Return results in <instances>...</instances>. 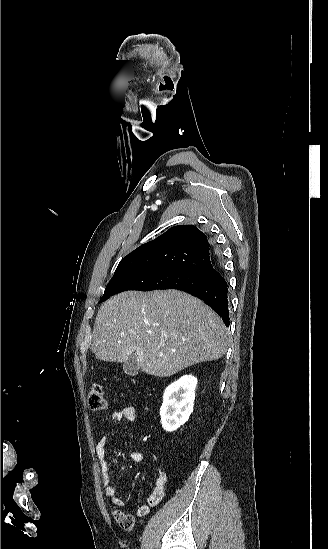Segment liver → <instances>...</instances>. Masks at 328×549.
I'll return each mask as SVG.
<instances>
[{"mask_svg":"<svg viewBox=\"0 0 328 549\" xmlns=\"http://www.w3.org/2000/svg\"><path fill=\"white\" fill-rule=\"evenodd\" d=\"M91 351L96 359L125 363L137 355L141 371L170 377L227 351L228 331L200 299L182 291H125L101 305Z\"/></svg>","mask_w":328,"mask_h":549,"instance_id":"obj_1","label":"liver"}]
</instances>
